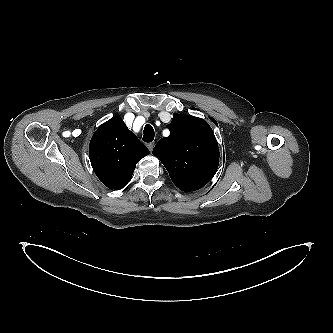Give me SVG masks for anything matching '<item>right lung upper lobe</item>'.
Returning a JSON list of instances; mask_svg holds the SVG:
<instances>
[{"mask_svg": "<svg viewBox=\"0 0 333 333\" xmlns=\"http://www.w3.org/2000/svg\"><path fill=\"white\" fill-rule=\"evenodd\" d=\"M148 154L149 150L119 117L102 124L89 146L94 172L104 185L114 190L127 185L136 164Z\"/></svg>", "mask_w": 333, "mask_h": 333, "instance_id": "right-lung-upper-lobe-1", "label": "right lung upper lobe"}]
</instances>
